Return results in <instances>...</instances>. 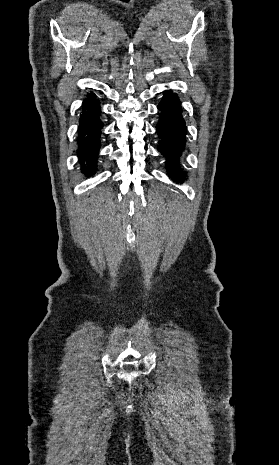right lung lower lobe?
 <instances>
[{
  "label": "right lung lower lobe",
  "mask_w": 279,
  "mask_h": 465,
  "mask_svg": "<svg viewBox=\"0 0 279 465\" xmlns=\"http://www.w3.org/2000/svg\"><path fill=\"white\" fill-rule=\"evenodd\" d=\"M99 101L89 93L83 100L78 128V150L81 172L88 176L97 169V158L101 146L100 134L103 124L100 120Z\"/></svg>",
  "instance_id": "1"
}]
</instances>
